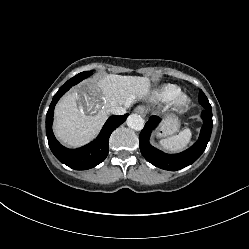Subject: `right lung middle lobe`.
Listing matches in <instances>:
<instances>
[{
    "label": "right lung middle lobe",
    "mask_w": 249,
    "mask_h": 249,
    "mask_svg": "<svg viewBox=\"0 0 249 249\" xmlns=\"http://www.w3.org/2000/svg\"><path fill=\"white\" fill-rule=\"evenodd\" d=\"M90 75H92V71H86V72H82V73L78 74L79 77H82L84 79L89 77Z\"/></svg>",
    "instance_id": "obj_1"
}]
</instances>
